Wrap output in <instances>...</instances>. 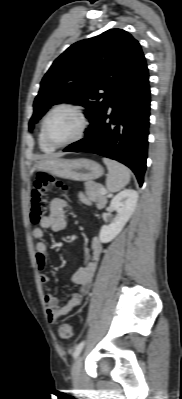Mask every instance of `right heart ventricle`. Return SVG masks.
<instances>
[{"label":"right heart ventricle","instance_id":"e07e8e85","mask_svg":"<svg viewBox=\"0 0 182 399\" xmlns=\"http://www.w3.org/2000/svg\"><path fill=\"white\" fill-rule=\"evenodd\" d=\"M38 141H39V145H40L41 150L44 151V152H51V151H53L55 149L54 147L50 146L44 140L43 135H42V128L40 129V132H39Z\"/></svg>","mask_w":182,"mask_h":399}]
</instances>
